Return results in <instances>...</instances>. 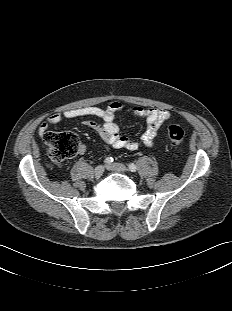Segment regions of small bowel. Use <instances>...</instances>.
<instances>
[{
	"instance_id": "1",
	"label": "small bowel",
	"mask_w": 232,
	"mask_h": 311,
	"mask_svg": "<svg viewBox=\"0 0 232 311\" xmlns=\"http://www.w3.org/2000/svg\"><path fill=\"white\" fill-rule=\"evenodd\" d=\"M123 111L124 107L118 101H112L105 109L96 106H88L64 110L60 113L49 116L40 125L38 133L41 137H45L52 125H55L64 119L84 117L98 118L101 122L87 120L86 125L96 131L107 145L113 148L134 151L138 149L139 143L130 137L122 135L118 124L114 121L116 114ZM127 112L145 120L146 124L140 135V141L146 146L153 145L160 126L171 117L170 112L159 108L133 106L128 108ZM85 150L86 147L82 144L79 147V153L83 154Z\"/></svg>"
}]
</instances>
